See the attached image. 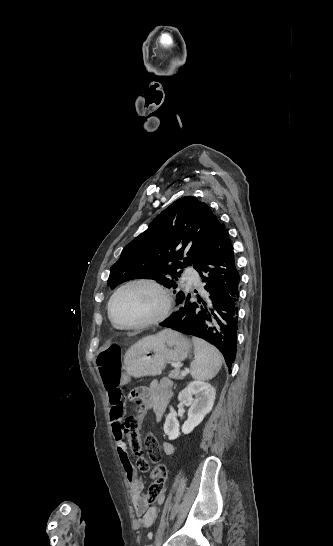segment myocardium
Wrapping results in <instances>:
<instances>
[{"instance_id": "f54148a6", "label": "myocardium", "mask_w": 333, "mask_h": 546, "mask_svg": "<svg viewBox=\"0 0 333 546\" xmlns=\"http://www.w3.org/2000/svg\"><path fill=\"white\" fill-rule=\"evenodd\" d=\"M132 286H147L157 291L161 297V307L155 315H153L152 317L146 320H143L136 324L121 325L115 320L113 316V312H112L113 304L117 296L123 290ZM171 307H172V300H171L170 294L160 282L154 279H149V278H136V279H131L123 283L113 292L108 302L107 314L111 324L119 330H142V329H145L163 322L169 316Z\"/></svg>"}]
</instances>
